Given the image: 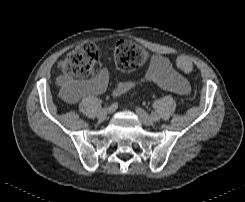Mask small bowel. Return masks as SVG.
<instances>
[{
	"mask_svg": "<svg viewBox=\"0 0 245 202\" xmlns=\"http://www.w3.org/2000/svg\"><path fill=\"white\" fill-rule=\"evenodd\" d=\"M185 62L190 61L180 56L176 59V66L181 69V66ZM145 82H153L161 88L176 94H185L190 89L188 80L173 68L172 63L168 59L160 55H154L151 57L150 63L140 79L134 82H117L111 87V93L114 96H119L125 93L129 88ZM108 84L109 72L106 69H101L95 77L91 79L76 81L65 104H78L85 98L101 94L107 89Z\"/></svg>",
	"mask_w": 245,
	"mask_h": 202,
	"instance_id": "c3829d8e",
	"label": "small bowel"
}]
</instances>
